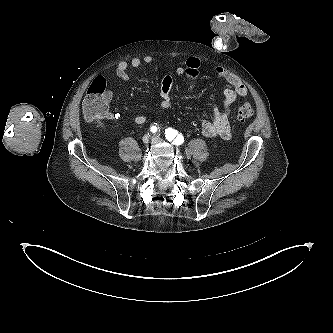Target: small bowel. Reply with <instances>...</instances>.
I'll use <instances>...</instances> for the list:
<instances>
[{
  "label": "small bowel",
  "mask_w": 333,
  "mask_h": 333,
  "mask_svg": "<svg viewBox=\"0 0 333 333\" xmlns=\"http://www.w3.org/2000/svg\"><path fill=\"white\" fill-rule=\"evenodd\" d=\"M152 57L145 56L143 58H133L130 62L121 61L115 68L116 76L122 81L129 80V67L139 68L144 64H151ZM201 62L196 57L188 58L183 65L176 68V73L181 76H187L189 78H196L199 75ZM215 73L218 77L224 79L229 87L223 91L222 105L213 104L211 107V120H203L201 122V132L204 136L209 138H221L229 139L231 137V129L229 123L230 111L233 103L239 97H246L248 90L245 84L232 72L222 68H215ZM160 96L162 109H170L173 107L172 100V78L170 75H166L161 82ZM107 103H110L113 99V93L110 90L106 91L105 95ZM119 114L108 111L103 117L105 120H116L119 118ZM136 124H143L146 122V116L137 115L134 118Z\"/></svg>",
  "instance_id": "obj_1"
}]
</instances>
